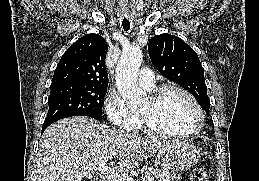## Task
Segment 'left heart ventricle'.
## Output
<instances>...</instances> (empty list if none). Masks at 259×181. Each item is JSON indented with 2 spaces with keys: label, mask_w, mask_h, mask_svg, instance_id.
<instances>
[{
  "label": "left heart ventricle",
  "mask_w": 259,
  "mask_h": 181,
  "mask_svg": "<svg viewBox=\"0 0 259 181\" xmlns=\"http://www.w3.org/2000/svg\"><path fill=\"white\" fill-rule=\"evenodd\" d=\"M140 112L147 113L156 127L169 132L188 133L198 124L195 107L176 91L168 92L156 104L148 98Z\"/></svg>",
  "instance_id": "1"
}]
</instances>
